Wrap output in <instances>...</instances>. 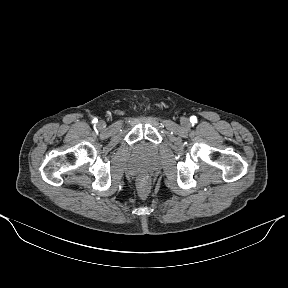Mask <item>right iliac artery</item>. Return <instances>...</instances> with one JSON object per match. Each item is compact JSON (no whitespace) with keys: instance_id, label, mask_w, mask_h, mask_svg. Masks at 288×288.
<instances>
[{"instance_id":"1","label":"right iliac artery","mask_w":288,"mask_h":288,"mask_svg":"<svg viewBox=\"0 0 288 288\" xmlns=\"http://www.w3.org/2000/svg\"><path fill=\"white\" fill-rule=\"evenodd\" d=\"M98 122V120L96 119V118H94L93 120H92V123L93 124H96Z\"/></svg>"}]
</instances>
